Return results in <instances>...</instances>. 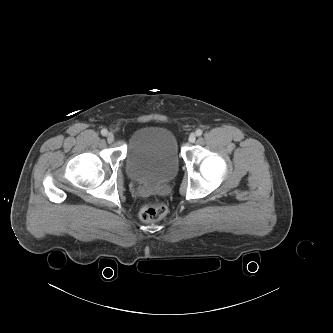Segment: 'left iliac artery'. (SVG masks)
Listing matches in <instances>:
<instances>
[{"label":"left iliac artery","mask_w":333,"mask_h":333,"mask_svg":"<svg viewBox=\"0 0 333 333\" xmlns=\"http://www.w3.org/2000/svg\"><path fill=\"white\" fill-rule=\"evenodd\" d=\"M202 133H203V131H202L201 129H197V130H196V135H197V136H201Z\"/></svg>","instance_id":"1"}]
</instances>
